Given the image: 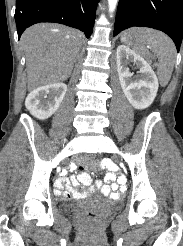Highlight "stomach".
Wrapping results in <instances>:
<instances>
[{"instance_id": "0dacf381", "label": "stomach", "mask_w": 183, "mask_h": 246, "mask_svg": "<svg viewBox=\"0 0 183 246\" xmlns=\"http://www.w3.org/2000/svg\"><path fill=\"white\" fill-rule=\"evenodd\" d=\"M139 30L140 29H132V30H129L128 32L124 33L121 37V41L126 42V43L131 44V45L139 43V39L136 35V33Z\"/></svg>"}]
</instances>
